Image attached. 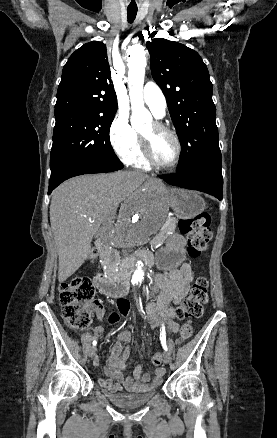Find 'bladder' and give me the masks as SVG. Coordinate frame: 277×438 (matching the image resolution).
I'll list each match as a JSON object with an SVG mask.
<instances>
[{
	"mask_svg": "<svg viewBox=\"0 0 277 438\" xmlns=\"http://www.w3.org/2000/svg\"><path fill=\"white\" fill-rule=\"evenodd\" d=\"M157 390L148 389L140 393H127L124 391H104V397L111 404L116 405L121 408L135 409L141 405L147 404L156 395Z\"/></svg>",
	"mask_w": 277,
	"mask_h": 438,
	"instance_id": "31cf9c89",
	"label": "bladder"
}]
</instances>
